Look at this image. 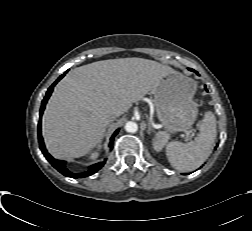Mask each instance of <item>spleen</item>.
I'll list each match as a JSON object with an SVG mask.
<instances>
[{
    "label": "spleen",
    "mask_w": 252,
    "mask_h": 231,
    "mask_svg": "<svg viewBox=\"0 0 252 231\" xmlns=\"http://www.w3.org/2000/svg\"><path fill=\"white\" fill-rule=\"evenodd\" d=\"M217 136L216 118L211 111L204 114L199 133L186 144L170 142L166 147L169 163L178 171L188 172L200 167L211 153Z\"/></svg>",
    "instance_id": "3e777b00"
}]
</instances>
